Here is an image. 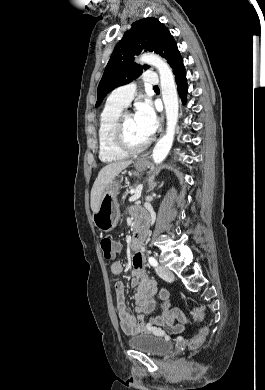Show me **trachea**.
I'll return each mask as SVG.
<instances>
[{"instance_id": "trachea-1", "label": "trachea", "mask_w": 265, "mask_h": 390, "mask_svg": "<svg viewBox=\"0 0 265 390\" xmlns=\"http://www.w3.org/2000/svg\"><path fill=\"white\" fill-rule=\"evenodd\" d=\"M154 88H158V86H154Z\"/></svg>"}]
</instances>
